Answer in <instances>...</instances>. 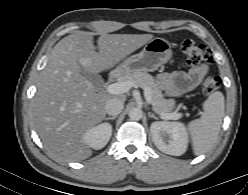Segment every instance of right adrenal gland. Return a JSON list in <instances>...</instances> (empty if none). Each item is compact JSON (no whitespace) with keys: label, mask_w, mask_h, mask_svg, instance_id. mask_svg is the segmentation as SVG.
<instances>
[{"label":"right adrenal gland","mask_w":248,"mask_h":195,"mask_svg":"<svg viewBox=\"0 0 248 195\" xmlns=\"http://www.w3.org/2000/svg\"><path fill=\"white\" fill-rule=\"evenodd\" d=\"M116 119V116H113V117H106L105 120H115Z\"/></svg>","instance_id":"right-adrenal-gland-1"}]
</instances>
